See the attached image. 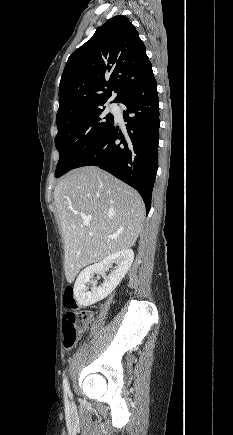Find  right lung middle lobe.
<instances>
[{
    "instance_id": "right-lung-middle-lobe-1",
    "label": "right lung middle lobe",
    "mask_w": 233,
    "mask_h": 435,
    "mask_svg": "<svg viewBox=\"0 0 233 435\" xmlns=\"http://www.w3.org/2000/svg\"><path fill=\"white\" fill-rule=\"evenodd\" d=\"M97 107L82 114L56 121L58 134L55 145L59 151V161L55 176L60 177L75 166L105 136L114 122L111 113L104 114Z\"/></svg>"
}]
</instances>
